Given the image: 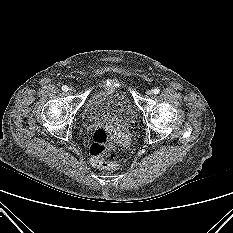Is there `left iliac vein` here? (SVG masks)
<instances>
[{"label": "left iliac vein", "mask_w": 233, "mask_h": 233, "mask_svg": "<svg viewBox=\"0 0 233 233\" xmlns=\"http://www.w3.org/2000/svg\"><path fill=\"white\" fill-rule=\"evenodd\" d=\"M153 95V90L146 91V97H151Z\"/></svg>", "instance_id": "1"}]
</instances>
